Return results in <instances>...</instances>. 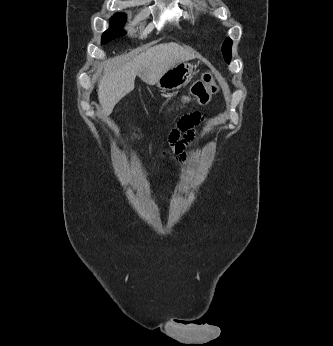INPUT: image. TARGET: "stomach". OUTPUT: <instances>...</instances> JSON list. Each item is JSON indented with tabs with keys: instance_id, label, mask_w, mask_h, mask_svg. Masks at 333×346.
Returning a JSON list of instances; mask_svg holds the SVG:
<instances>
[{
	"instance_id": "0dacf381",
	"label": "stomach",
	"mask_w": 333,
	"mask_h": 346,
	"mask_svg": "<svg viewBox=\"0 0 333 346\" xmlns=\"http://www.w3.org/2000/svg\"><path fill=\"white\" fill-rule=\"evenodd\" d=\"M193 65L179 62L168 69L158 79L156 85L162 91H171L185 86L193 77Z\"/></svg>"
}]
</instances>
